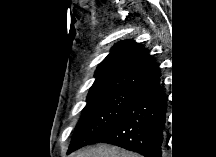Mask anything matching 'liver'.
Here are the masks:
<instances>
[{
    "instance_id": "liver-1",
    "label": "liver",
    "mask_w": 216,
    "mask_h": 157,
    "mask_svg": "<svg viewBox=\"0 0 216 157\" xmlns=\"http://www.w3.org/2000/svg\"><path fill=\"white\" fill-rule=\"evenodd\" d=\"M75 157H138V154L126 151L119 147L100 144L84 149L74 154Z\"/></svg>"
}]
</instances>
